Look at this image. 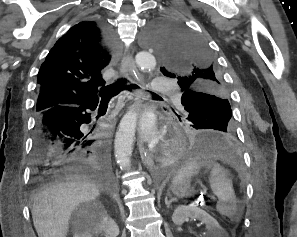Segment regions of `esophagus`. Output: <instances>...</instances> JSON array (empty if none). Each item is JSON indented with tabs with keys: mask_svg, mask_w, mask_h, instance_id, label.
Segmentation results:
<instances>
[{
	"mask_svg": "<svg viewBox=\"0 0 297 237\" xmlns=\"http://www.w3.org/2000/svg\"><path fill=\"white\" fill-rule=\"evenodd\" d=\"M120 72L123 76L133 75V73H135V64L131 55L128 54L125 57H123L121 62ZM136 101L138 104V108L141 111L143 107L141 98L137 96ZM139 152H140L143 164L147 168H152V166L154 165L153 157L146 150V148L142 143L139 144Z\"/></svg>",
	"mask_w": 297,
	"mask_h": 237,
	"instance_id": "esophagus-1",
	"label": "esophagus"
}]
</instances>
